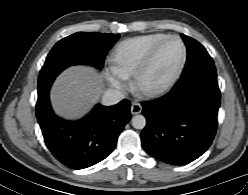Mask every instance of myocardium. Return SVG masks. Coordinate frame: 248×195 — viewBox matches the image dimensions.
Listing matches in <instances>:
<instances>
[{
  "label": "myocardium",
  "instance_id": "1",
  "mask_svg": "<svg viewBox=\"0 0 248 195\" xmlns=\"http://www.w3.org/2000/svg\"><path fill=\"white\" fill-rule=\"evenodd\" d=\"M178 40L180 41L182 48H183V55L181 62L176 70V72L163 84L156 86V87H148L145 85L144 81L147 75L150 73L152 68L154 67L155 61L162 50V48L170 41V40ZM188 56L187 46L183 39L177 35H170L162 40L150 53L149 57L147 58L145 64L137 71L134 75L133 85L134 88L142 95L147 97L157 96L169 90L180 78L184 67L186 65Z\"/></svg>",
  "mask_w": 248,
  "mask_h": 195
}]
</instances>
